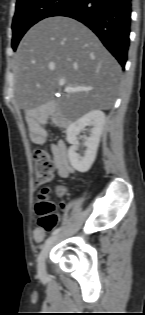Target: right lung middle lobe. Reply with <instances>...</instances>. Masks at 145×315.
Instances as JSON below:
<instances>
[{"label":"right lung middle lobe","instance_id":"1","mask_svg":"<svg viewBox=\"0 0 145 315\" xmlns=\"http://www.w3.org/2000/svg\"><path fill=\"white\" fill-rule=\"evenodd\" d=\"M70 0H18L13 18L12 48L16 49L26 31L38 21L52 16Z\"/></svg>","mask_w":145,"mask_h":315}]
</instances>
